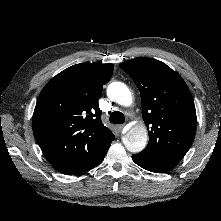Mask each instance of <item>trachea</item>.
Here are the masks:
<instances>
[{"instance_id":"trachea-1","label":"trachea","mask_w":221,"mask_h":221,"mask_svg":"<svg viewBox=\"0 0 221 221\" xmlns=\"http://www.w3.org/2000/svg\"><path fill=\"white\" fill-rule=\"evenodd\" d=\"M110 122L113 124H123L125 122L124 114L119 111H114L110 115Z\"/></svg>"}]
</instances>
